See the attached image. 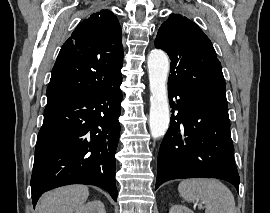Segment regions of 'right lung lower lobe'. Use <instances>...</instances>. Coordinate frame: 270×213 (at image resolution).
Instances as JSON below:
<instances>
[{
    "label": "right lung lower lobe",
    "mask_w": 270,
    "mask_h": 213,
    "mask_svg": "<svg viewBox=\"0 0 270 213\" xmlns=\"http://www.w3.org/2000/svg\"><path fill=\"white\" fill-rule=\"evenodd\" d=\"M120 85L46 106L31 177L34 207L42 193L69 184L102 187L117 201Z\"/></svg>",
    "instance_id": "1"
}]
</instances>
